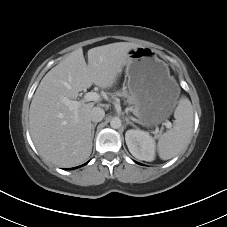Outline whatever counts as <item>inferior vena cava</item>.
<instances>
[{
    "instance_id": "1",
    "label": "inferior vena cava",
    "mask_w": 227,
    "mask_h": 227,
    "mask_svg": "<svg viewBox=\"0 0 227 227\" xmlns=\"http://www.w3.org/2000/svg\"><path fill=\"white\" fill-rule=\"evenodd\" d=\"M104 115H105V112L102 108L94 107L91 110L90 118H91V121L96 123V122H100L104 118Z\"/></svg>"
}]
</instances>
